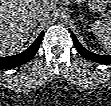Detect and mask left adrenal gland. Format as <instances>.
<instances>
[{"label": "left adrenal gland", "instance_id": "1", "mask_svg": "<svg viewBox=\"0 0 111 106\" xmlns=\"http://www.w3.org/2000/svg\"><path fill=\"white\" fill-rule=\"evenodd\" d=\"M80 21L84 22L82 15L79 13Z\"/></svg>", "mask_w": 111, "mask_h": 106}]
</instances>
